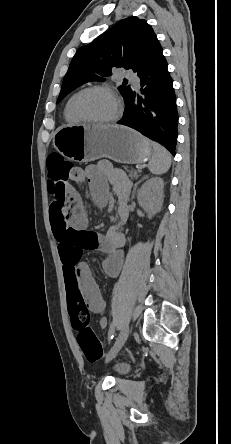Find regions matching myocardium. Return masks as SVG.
<instances>
[{
	"mask_svg": "<svg viewBox=\"0 0 231 444\" xmlns=\"http://www.w3.org/2000/svg\"><path fill=\"white\" fill-rule=\"evenodd\" d=\"M92 91H102V92L109 94L113 98L115 105H116V112L112 117L105 119V120H92L82 112L81 106H80L81 101L86 94H88L89 92H92ZM122 109H123L122 101H121L120 97L118 96V94L112 88L105 86V85H92L87 88H84L76 96L75 101H74V105H73V111H74L75 115L77 116V118L84 123L93 124V125H108V124L115 123L120 118L121 113H122Z\"/></svg>",
	"mask_w": 231,
	"mask_h": 444,
	"instance_id": "obj_1",
	"label": "myocardium"
}]
</instances>
